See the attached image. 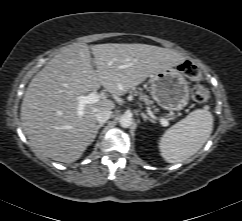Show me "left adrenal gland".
<instances>
[{"instance_id":"left-adrenal-gland-1","label":"left adrenal gland","mask_w":242,"mask_h":221,"mask_svg":"<svg viewBox=\"0 0 242 221\" xmlns=\"http://www.w3.org/2000/svg\"><path fill=\"white\" fill-rule=\"evenodd\" d=\"M141 116H142L144 121L149 120L150 122L155 123V121L153 119H151L150 117H148L145 113L142 112Z\"/></svg>"}]
</instances>
